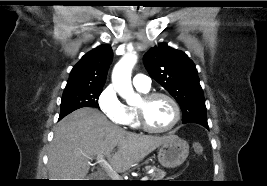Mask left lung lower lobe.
<instances>
[{"label":"left lung lower lobe","instance_id":"obj_1","mask_svg":"<svg viewBox=\"0 0 267 186\" xmlns=\"http://www.w3.org/2000/svg\"><path fill=\"white\" fill-rule=\"evenodd\" d=\"M203 126H205L207 129L209 128L208 125H203Z\"/></svg>","mask_w":267,"mask_h":186}]
</instances>
